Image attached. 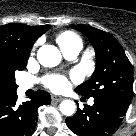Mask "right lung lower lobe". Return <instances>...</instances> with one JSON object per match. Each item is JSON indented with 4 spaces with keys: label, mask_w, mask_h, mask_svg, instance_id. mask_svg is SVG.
<instances>
[{
    "label": "right lung lower lobe",
    "mask_w": 136,
    "mask_h": 136,
    "mask_svg": "<svg viewBox=\"0 0 136 136\" xmlns=\"http://www.w3.org/2000/svg\"><path fill=\"white\" fill-rule=\"evenodd\" d=\"M17 94L0 97V136H28L37 122V109L51 103L50 95L37 91L31 100L17 105Z\"/></svg>",
    "instance_id": "right-lung-lower-lobe-1"
}]
</instances>
